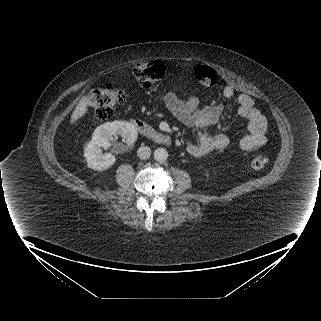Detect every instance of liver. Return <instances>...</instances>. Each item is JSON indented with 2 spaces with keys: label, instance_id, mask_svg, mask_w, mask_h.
I'll return each instance as SVG.
<instances>
[{
  "label": "liver",
  "instance_id": "obj_1",
  "mask_svg": "<svg viewBox=\"0 0 321 321\" xmlns=\"http://www.w3.org/2000/svg\"><path fill=\"white\" fill-rule=\"evenodd\" d=\"M89 100L86 96H83L72 112L70 123L74 124L77 120H79L88 110Z\"/></svg>",
  "mask_w": 321,
  "mask_h": 321
}]
</instances>
